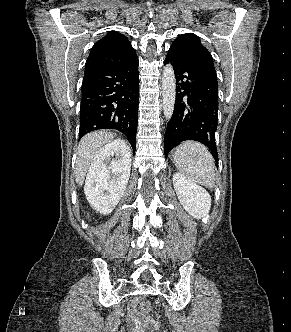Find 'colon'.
Masks as SVG:
<instances>
[{"instance_id": "colon-1", "label": "colon", "mask_w": 291, "mask_h": 332, "mask_svg": "<svg viewBox=\"0 0 291 332\" xmlns=\"http://www.w3.org/2000/svg\"><path fill=\"white\" fill-rule=\"evenodd\" d=\"M141 310L145 313H149L152 311V304L148 301H144L141 303Z\"/></svg>"}]
</instances>
